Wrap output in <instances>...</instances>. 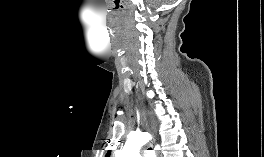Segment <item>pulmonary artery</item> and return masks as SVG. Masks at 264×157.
Here are the masks:
<instances>
[{"instance_id":"pulmonary-artery-1","label":"pulmonary artery","mask_w":264,"mask_h":157,"mask_svg":"<svg viewBox=\"0 0 264 157\" xmlns=\"http://www.w3.org/2000/svg\"><path fill=\"white\" fill-rule=\"evenodd\" d=\"M152 156H154V154H153L152 151H146V152H144V154H143V157H152ZM154 157H155V156H154Z\"/></svg>"}]
</instances>
